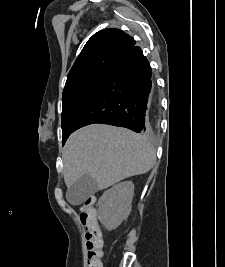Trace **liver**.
Listing matches in <instances>:
<instances>
[{"label":"liver","instance_id":"obj_1","mask_svg":"<svg viewBox=\"0 0 225 267\" xmlns=\"http://www.w3.org/2000/svg\"><path fill=\"white\" fill-rule=\"evenodd\" d=\"M62 158L68 188L89 175L103 190L147 173L154 166L156 152L144 135L106 124H90L70 135Z\"/></svg>","mask_w":225,"mask_h":267}]
</instances>
